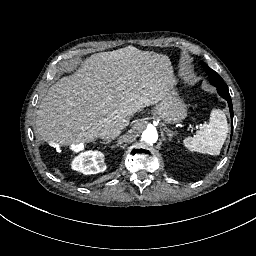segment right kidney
<instances>
[{
    "instance_id": "obj_1",
    "label": "right kidney",
    "mask_w": 256,
    "mask_h": 256,
    "mask_svg": "<svg viewBox=\"0 0 256 256\" xmlns=\"http://www.w3.org/2000/svg\"><path fill=\"white\" fill-rule=\"evenodd\" d=\"M71 168L85 175L97 174L106 170L104 154L100 151H85L74 157Z\"/></svg>"
}]
</instances>
